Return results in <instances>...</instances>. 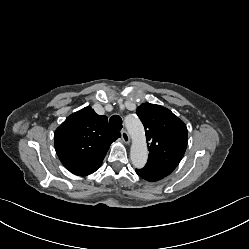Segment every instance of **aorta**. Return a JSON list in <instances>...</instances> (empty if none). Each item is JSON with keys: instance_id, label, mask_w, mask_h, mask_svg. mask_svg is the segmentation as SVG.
Returning <instances> with one entry per match:
<instances>
[{"instance_id": "1", "label": "aorta", "mask_w": 249, "mask_h": 249, "mask_svg": "<svg viewBox=\"0 0 249 249\" xmlns=\"http://www.w3.org/2000/svg\"><path fill=\"white\" fill-rule=\"evenodd\" d=\"M125 125L133 139L130 151L132 164L135 168H143L148 159L144 127L139 118L134 115H128L125 118Z\"/></svg>"}]
</instances>
